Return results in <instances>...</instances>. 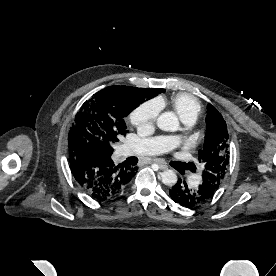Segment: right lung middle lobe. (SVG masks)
I'll list each match as a JSON object with an SVG mask.
<instances>
[{
  "label": "right lung middle lobe",
  "instance_id": "obj_1",
  "mask_svg": "<svg viewBox=\"0 0 276 276\" xmlns=\"http://www.w3.org/2000/svg\"><path fill=\"white\" fill-rule=\"evenodd\" d=\"M164 89L111 86L95 93L80 108L68 136L69 153L90 149L99 157L112 155V145L126 135V117L145 99Z\"/></svg>",
  "mask_w": 276,
  "mask_h": 276
}]
</instances>
